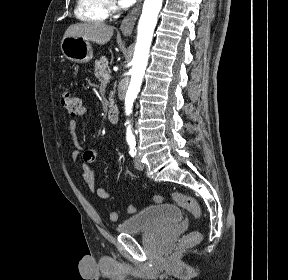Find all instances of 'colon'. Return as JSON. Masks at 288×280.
I'll list each match as a JSON object with an SVG mask.
<instances>
[{"label":"colon","mask_w":288,"mask_h":280,"mask_svg":"<svg viewBox=\"0 0 288 280\" xmlns=\"http://www.w3.org/2000/svg\"><path fill=\"white\" fill-rule=\"evenodd\" d=\"M61 104L67 110V112L71 116H78L81 110V101L80 99L71 92H64L61 95ZM167 200L173 201L177 205L182 208L187 209L192 213V215L196 219H200L202 217V209L199 203L192 197L181 194V193H172L167 196L165 195H156L154 197L155 203H163ZM137 210L135 205L128 206L129 213H135ZM109 218L112 221H116L118 219V213L116 211H111L109 214ZM201 239V234L198 231H193L185 238V243L192 244L196 243Z\"/></svg>","instance_id":"colon-1"}]
</instances>
